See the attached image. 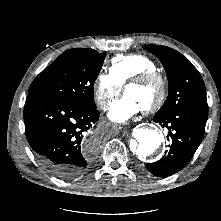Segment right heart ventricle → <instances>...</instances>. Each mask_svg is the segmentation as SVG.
<instances>
[{"mask_svg":"<svg viewBox=\"0 0 221 221\" xmlns=\"http://www.w3.org/2000/svg\"><path fill=\"white\" fill-rule=\"evenodd\" d=\"M146 71H157V65L150 57L141 53L117 56L109 64V74L121 86H124L129 79Z\"/></svg>","mask_w":221,"mask_h":221,"instance_id":"obj_1","label":"right heart ventricle"}]
</instances>
